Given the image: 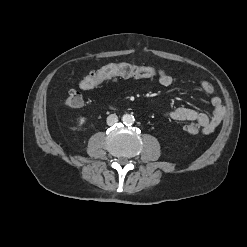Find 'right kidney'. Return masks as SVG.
<instances>
[{"mask_svg": "<svg viewBox=\"0 0 247 247\" xmlns=\"http://www.w3.org/2000/svg\"><path fill=\"white\" fill-rule=\"evenodd\" d=\"M86 119L84 117L80 118L78 121L79 126L83 125L85 123Z\"/></svg>", "mask_w": 247, "mask_h": 247, "instance_id": "ca27d5eb", "label": "right kidney"}]
</instances>
